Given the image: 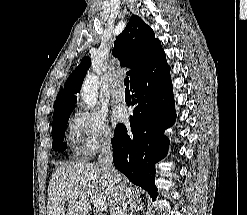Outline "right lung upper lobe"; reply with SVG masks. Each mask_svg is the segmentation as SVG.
I'll use <instances>...</instances> for the list:
<instances>
[{"label": "right lung upper lobe", "mask_w": 247, "mask_h": 215, "mask_svg": "<svg viewBox=\"0 0 247 215\" xmlns=\"http://www.w3.org/2000/svg\"><path fill=\"white\" fill-rule=\"evenodd\" d=\"M164 53L161 42L154 37L153 30L136 15H133L124 31L117 36L112 54L118 58L122 67H129L127 75L130 81L150 68ZM90 58L84 57L81 64L67 79L64 89L60 90L55 102L54 114L74 107L77 97L74 95L81 89Z\"/></svg>", "instance_id": "obj_1"}]
</instances>
